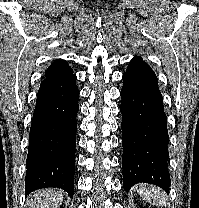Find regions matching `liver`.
Listing matches in <instances>:
<instances>
[{
	"label": "liver",
	"mask_w": 199,
	"mask_h": 208,
	"mask_svg": "<svg viewBox=\"0 0 199 208\" xmlns=\"http://www.w3.org/2000/svg\"><path fill=\"white\" fill-rule=\"evenodd\" d=\"M63 201V191L55 188L42 189L34 192L28 208H58Z\"/></svg>",
	"instance_id": "liver-1"
}]
</instances>
